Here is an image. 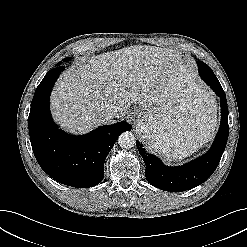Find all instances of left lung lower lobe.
<instances>
[{
    "instance_id": "0a47b994",
    "label": "left lung lower lobe",
    "mask_w": 247,
    "mask_h": 247,
    "mask_svg": "<svg viewBox=\"0 0 247 247\" xmlns=\"http://www.w3.org/2000/svg\"><path fill=\"white\" fill-rule=\"evenodd\" d=\"M198 66L201 78L220 97L221 103V124L210 150L183 166L167 167L156 156L147 153L140 142L136 143L146 165L147 181L164 191L181 192L205 182L215 171L226 147L229 134L226 95L212 69L201 61Z\"/></svg>"
}]
</instances>
